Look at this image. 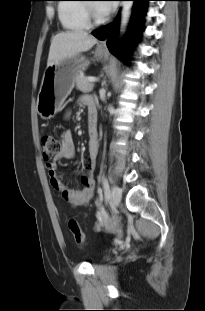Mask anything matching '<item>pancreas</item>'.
<instances>
[{
  "mask_svg": "<svg viewBox=\"0 0 205 311\" xmlns=\"http://www.w3.org/2000/svg\"><path fill=\"white\" fill-rule=\"evenodd\" d=\"M75 83L76 88L84 93L90 92L93 89V84L82 74H78L75 77Z\"/></svg>",
  "mask_w": 205,
  "mask_h": 311,
  "instance_id": "pancreas-1",
  "label": "pancreas"
}]
</instances>
